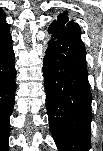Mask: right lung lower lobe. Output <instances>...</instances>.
I'll use <instances>...</instances> for the list:
<instances>
[{
    "label": "right lung lower lobe",
    "mask_w": 103,
    "mask_h": 151,
    "mask_svg": "<svg viewBox=\"0 0 103 151\" xmlns=\"http://www.w3.org/2000/svg\"><path fill=\"white\" fill-rule=\"evenodd\" d=\"M15 56L9 26L0 29V128L8 133V119L12 112L15 93Z\"/></svg>",
    "instance_id": "obj_1"
}]
</instances>
